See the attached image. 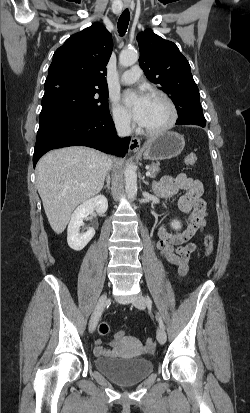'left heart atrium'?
<instances>
[{"label": "left heart atrium", "instance_id": "39dd6f15", "mask_svg": "<svg viewBox=\"0 0 250 413\" xmlns=\"http://www.w3.org/2000/svg\"><path fill=\"white\" fill-rule=\"evenodd\" d=\"M123 102L133 118L139 124H142L146 116L150 97L142 92L128 91L124 95Z\"/></svg>", "mask_w": 250, "mask_h": 413}]
</instances>
